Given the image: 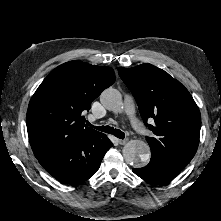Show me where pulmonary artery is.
Masks as SVG:
<instances>
[{
  "label": "pulmonary artery",
  "mask_w": 221,
  "mask_h": 221,
  "mask_svg": "<svg viewBox=\"0 0 221 221\" xmlns=\"http://www.w3.org/2000/svg\"><path fill=\"white\" fill-rule=\"evenodd\" d=\"M124 111L130 116L131 124L133 128L137 131H144L142 124L135 116V105L134 100L131 96L126 95L123 104Z\"/></svg>",
  "instance_id": "obj_1"
}]
</instances>
